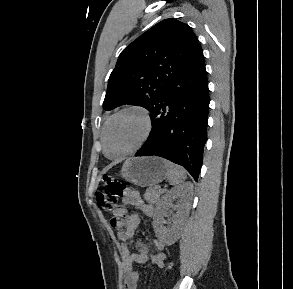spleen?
Listing matches in <instances>:
<instances>
[{"label": "spleen", "mask_w": 293, "mask_h": 289, "mask_svg": "<svg viewBox=\"0 0 293 289\" xmlns=\"http://www.w3.org/2000/svg\"><path fill=\"white\" fill-rule=\"evenodd\" d=\"M167 168V179L171 185H180L186 180L185 170L167 160H164Z\"/></svg>", "instance_id": "spleen-1"}]
</instances>
